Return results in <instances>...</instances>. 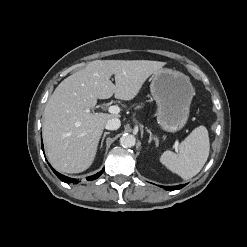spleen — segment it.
<instances>
[{
	"mask_svg": "<svg viewBox=\"0 0 247 247\" xmlns=\"http://www.w3.org/2000/svg\"><path fill=\"white\" fill-rule=\"evenodd\" d=\"M210 150L205 126L195 128L179 145V153L165 151L160 162L183 179L197 175L206 163Z\"/></svg>",
	"mask_w": 247,
	"mask_h": 247,
	"instance_id": "obj_1",
	"label": "spleen"
}]
</instances>
